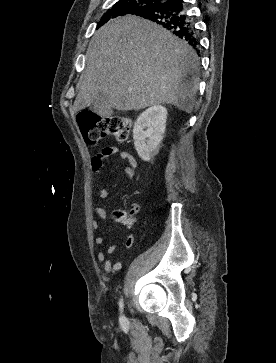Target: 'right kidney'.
Wrapping results in <instances>:
<instances>
[{
	"instance_id": "right-kidney-1",
	"label": "right kidney",
	"mask_w": 276,
	"mask_h": 363,
	"mask_svg": "<svg viewBox=\"0 0 276 363\" xmlns=\"http://www.w3.org/2000/svg\"><path fill=\"white\" fill-rule=\"evenodd\" d=\"M167 110L154 105L137 118L133 128L134 146L139 157L150 161L159 151L166 128Z\"/></svg>"
}]
</instances>
